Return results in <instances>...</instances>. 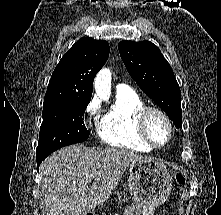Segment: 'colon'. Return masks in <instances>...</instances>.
<instances>
[{
    "mask_svg": "<svg viewBox=\"0 0 221 215\" xmlns=\"http://www.w3.org/2000/svg\"><path fill=\"white\" fill-rule=\"evenodd\" d=\"M176 180L179 184H183L185 182V177L182 174H177Z\"/></svg>",
    "mask_w": 221,
    "mask_h": 215,
    "instance_id": "1",
    "label": "colon"
}]
</instances>
